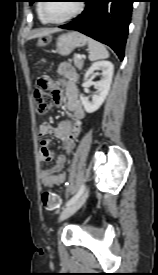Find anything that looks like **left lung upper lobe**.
I'll return each mask as SVG.
<instances>
[{
  "label": "left lung upper lobe",
  "mask_w": 158,
  "mask_h": 275,
  "mask_svg": "<svg viewBox=\"0 0 158 275\" xmlns=\"http://www.w3.org/2000/svg\"><path fill=\"white\" fill-rule=\"evenodd\" d=\"M34 2V0H30V4H32Z\"/></svg>",
  "instance_id": "1"
}]
</instances>
